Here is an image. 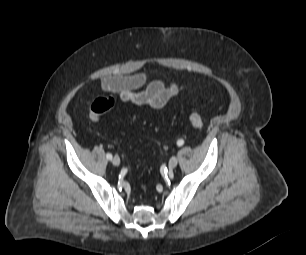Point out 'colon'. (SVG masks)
<instances>
[{
    "mask_svg": "<svg viewBox=\"0 0 306 255\" xmlns=\"http://www.w3.org/2000/svg\"><path fill=\"white\" fill-rule=\"evenodd\" d=\"M116 105V101L113 97H100L97 98L90 107V117L93 121L98 122L101 117L108 111L112 110ZM188 119L191 125L195 129H201L203 127V119L201 115L196 111H190Z\"/></svg>",
    "mask_w": 306,
    "mask_h": 255,
    "instance_id": "obj_1",
    "label": "colon"
}]
</instances>
